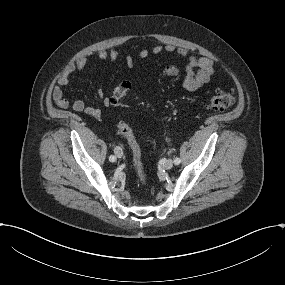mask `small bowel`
<instances>
[{
  "label": "small bowel",
  "mask_w": 285,
  "mask_h": 285,
  "mask_svg": "<svg viewBox=\"0 0 285 285\" xmlns=\"http://www.w3.org/2000/svg\"><path fill=\"white\" fill-rule=\"evenodd\" d=\"M162 52L175 54L177 57L187 60L186 76L183 81L185 89L196 90L210 81L215 69V62L212 59L197 57L193 51L187 48H177L172 44L165 46L156 45L151 50L143 49L136 57L128 54L125 56V62L131 67L134 65L136 59H145L149 55H158ZM97 55L101 61L116 62L119 58V52L115 48L100 49ZM86 64L87 57L79 56L65 65L58 75L56 84L52 88V100L59 108L71 107L76 112L85 113L93 118H99L102 115V108L88 106L82 100L70 102L63 94V87L69 84L71 74L83 70ZM98 97L101 100L103 108H108L112 105L110 97L105 96L102 89L98 90Z\"/></svg>",
  "instance_id": "obj_1"
}]
</instances>
